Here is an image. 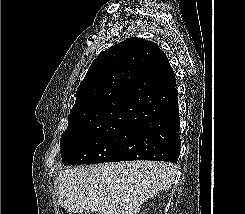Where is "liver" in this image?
<instances>
[{"label":"liver","instance_id":"obj_1","mask_svg":"<svg viewBox=\"0 0 245 214\" xmlns=\"http://www.w3.org/2000/svg\"><path fill=\"white\" fill-rule=\"evenodd\" d=\"M170 163L134 161L83 166L61 171L56 195L69 213L138 214L141 205L173 184Z\"/></svg>","mask_w":245,"mask_h":214}]
</instances>
